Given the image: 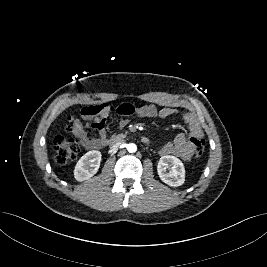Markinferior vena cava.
Here are the masks:
<instances>
[{
  "label": "inferior vena cava",
  "mask_w": 267,
  "mask_h": 267,
  "mask_svg": "<svg viewBox=\"0 0 267 267\" xmlns=\"http://www.w3.org/2000/svg\"><path fill=\"white\" fill-rule=\"evenodd\" d=\"M124 143L123 139H118L110 144V147L113 149H117L119 146H121Z\"/></svg>",
  "instance_id": "602c4592"
}]
</instances>
